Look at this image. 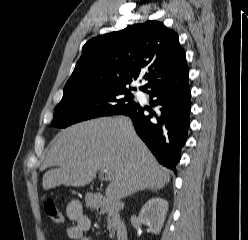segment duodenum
<instances>
[{"label": "duodenum", "mask_w": 248, "mask_h": 240, "mask_svg": "<svg viewBox=\"0 0 248 240\" xmlns=\"http://www.w3.org/2000/svg\"><path fill=\"white\" fill-rule=\"evenodd\" d=\"M91 206L100 214L117 215L123 209L120 201L106 199L98 194L93 195ZM115 240H129L127 227L118 220L115 224Z\"/></svg>", "instance_id": "duodenum-1"}]
</instances>
